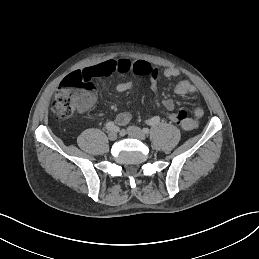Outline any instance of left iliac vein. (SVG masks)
<instances>
[{
	"label": "left iliac vein",
	"mask_w": 259,
	"mask_h": 259,
	"mask_svg": "<svg viewBox=\"0 0 259 259\" xmlns=\"http://www.w3.org/2000/svg\"><path fill=\"white\" fill-rule=\"evenodd\" d=\"M127 134L130 137H133V138H136V139H139V140H145L146 139V135H145L144 131L141 130L139 127H136V126H129L127 128Z\"/></svg>",
	"instance_id": "left-iliac-vein-1"
}]
</instances>
